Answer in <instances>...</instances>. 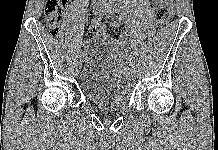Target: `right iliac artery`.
Returning a JSON list of instances; mask_svg holds the SVG:
<instances>
[{
  "instance_id": "obj_1",
  "label": "right iliac artery",
  "mask_w": 218,
  "mask_h": 150,
  "mask_svg": "<svg viewBox=\"0 0 218 150\" xmlns=\"http://www.w3.org/2000/svg\"><path fill=\"white\" fill-rule=\"evenodd\" d=\"M93 12H94V18H93V20H92L93 23H96V22L101 21L102 16H103L102 13H101V11L98 12V11H97V7H96V8H94ZM79 53H80L81 55H82V54L85 55L87 52H86L85 50H84V51L81 50Z\"/></svg>"
}]
</instances>
